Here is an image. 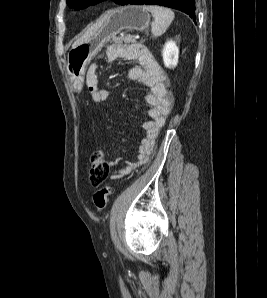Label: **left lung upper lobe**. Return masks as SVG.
<instances>
[{
    "label": "left lung upper lobe",
    "instance_id": "left-lung-upper-lobe-1",
    "mask_svg": "<svg viewBox=\"0 0 267 298\" xmlns=\"http://www.w3.org/2000/svg\"><path fill=\"white\" fill-rule=\"evenodd\" d=\"M101 1H104V0H67V4L69 7L79 10V9L86 8L91 4H97ZM113 1L115 3L122 5L125 0H113Z\"/></svg>",
    "mask_w": 267,
    "mask_h": 298
}]
</instances>
